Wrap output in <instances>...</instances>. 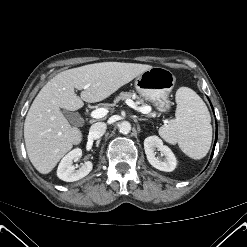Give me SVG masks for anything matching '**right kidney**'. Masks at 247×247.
I'll list each match as a JSON object with an SVG mask.
<instances>
[{"label": "right kidney", "instance_id": "1", "mask_svg": "<svg viewBox=\"0 0 247 247\" xmlns=\"http://www.w3.org/2000/svg\"><path fill=\"white\" fill-rule=\"evenodd\" d=\"M81 156L82 150L80 148L73 149L65 155L57 169L58 178L66 182H74L87 176L93 168L92 162L86 161L78 170H75L72 165L73 160H77Z\"/></svg>", "mask_w": 247, "mask_h": 247}]
</instances>
